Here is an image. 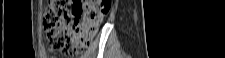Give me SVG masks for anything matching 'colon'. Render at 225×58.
I'll return each instance as SVG.
<instances>
[{
	"instance_id": "5ec220e1",
	"label": "colon",
	"mask_w": 225,
	"mask_h": 58,
	"mask_svg": "<svg viewBox=\"0 0 225 58\" xmlns=\"http://www.w3.org/2000/svg\"><path fill=\"white\" fill-rule=\"evenodd\" d=\"M111 8L109 0H51L43 17L49 46L66 56L88 47Z\"/></svg>"
}]
</instances>
